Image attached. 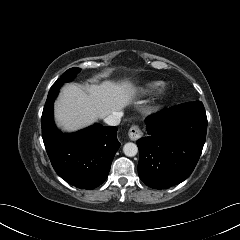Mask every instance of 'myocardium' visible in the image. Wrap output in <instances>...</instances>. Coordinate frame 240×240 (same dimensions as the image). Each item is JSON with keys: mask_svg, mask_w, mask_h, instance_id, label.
I'll list each match as a JSON object with an SVG mask.
<instances>
[{"mask_svg": "<svg viewBox=\"0 0 240 240\" xmlns=\"http://www.w3.org/2000/svg\"><path fill=\"white\" fill-rule=\"evenodd\" d=\"M165 97H166V96H165L164 94H162L161 97H160V100H161V101L164 100Z\"/></svg>", "mask_w": 240, "mask_h": 240, "instance_id": "myocardium-1", "label": "myocardium"}]
</instances>
